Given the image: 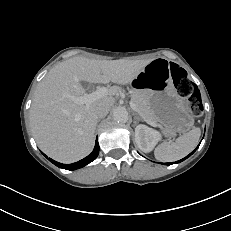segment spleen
Masks as SVG:
<instances>
[{"mask_svg":"<svg viewBox=\"0 0 231 231\" xmlns=\"http://www.w3.org/2000/svg\"><path fill=\"white\" fill-rule=\"evenodd\" d=\"M201 135L200 128L194 127L181 135L175 142H164L156 147L155 158L162 162L179 160L188 155L197 145Z\"/></svg>","mask_w":231,"mask_h":231,"instance_id":"obj_1","label":"spleen"}]
</instances>
